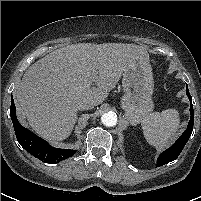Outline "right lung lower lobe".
<instances>
[{
    "mask_svg": "<svg viewBox=\"0 0 201 201\" xmlns=\"http://www.w3.org/2000/svg\"><path fill=\"white\" fill-rule=\"evenodd\" d=\"M10 115L14 131L20 145L35 158L44 163H57L73 156L76 150L54 148L28 129L24 128L16 117L13 98L11 99Z\"/></svg>",
    "mask_w": 201,
    "mask_h": 201,
    "instance_id": "obj_1",
    "label": "right lung lower lobe"
}]
</instances>
